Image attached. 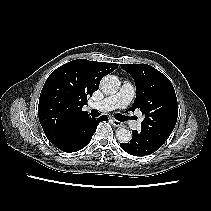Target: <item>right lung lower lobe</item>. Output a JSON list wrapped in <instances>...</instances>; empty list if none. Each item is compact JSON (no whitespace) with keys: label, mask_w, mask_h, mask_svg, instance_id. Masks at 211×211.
I'll return each instance as SVG.
<instances>
[{"label":"right lung lower lobe","mask_w":211,"mask_h":211,"mask_svg":"<svg viewBox=\"0 0 211 211\" xmlns=\"http://www.w3.org/2000/svg\"><path fill=\"white\" fill-rule=\"evenodd\" d=\"M108 118L102 115L100 118H87L67 127L55 140L51 141L58 149L71 153L84 148L91 140L96 127L101 121Z\"/></svg>","instance_id":"right-lung-lower-lobe-1"}]
</instances>
